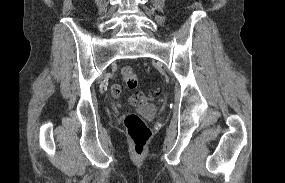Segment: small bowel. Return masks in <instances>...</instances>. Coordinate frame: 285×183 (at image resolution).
Listing matches in <instances>:
<instances>
[{
  "mask_svg": "<svg viewBox=\"0 0 285 183\" xmlns=\"http://www.w3.org/2000/svg\"><path fill=\"white\" fill-rule=\"evenodd\" d=\"M111 94L114 98H118L121 95V86L120 85H112Z\"/></svg>",
  "mask_w": 285,
  "mask_h": 183,
  "instance_id": "small-bowel-1",
  "label": "small bowel"
}]
</instances>
